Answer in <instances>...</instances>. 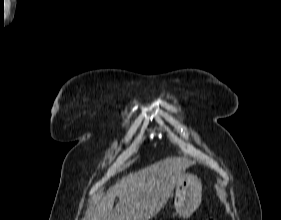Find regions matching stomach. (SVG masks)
Masks as SVG:
<instances>
[{
  "instance_id": "1",
  "label": "stomach",
  "mask_w": 281,
  "mask_h": 220,
  "mask_svg": "<svg viewBox=\"0 0 281 220\" xmlns=\"http://www.w3.org/2000/svg\"><path fill=\"white\" fill-rule=\"evenodd\" d=\"M202 186L193 174H183L176 183L174 207L180 217H190L201 203Z\"/></svg>"
}]
</instances>
